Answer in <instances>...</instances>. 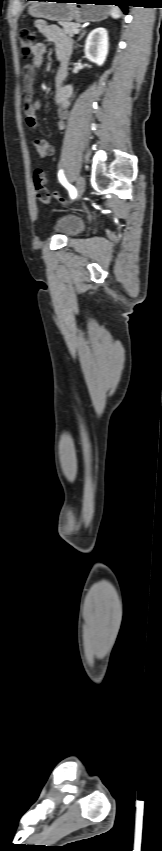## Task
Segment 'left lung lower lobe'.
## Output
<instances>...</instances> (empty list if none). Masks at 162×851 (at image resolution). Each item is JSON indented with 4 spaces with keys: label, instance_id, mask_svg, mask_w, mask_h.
I'll return each mask as SVG.
<instances>
[{
    "label": "left lung lower lobe",
    "instance_id": "1",
    "mask_svg": "<svg viewBox=\"0 0 162 851\" xmlns=\"http://www.w3.org/2000/svg\"><path fill=\"white\" fill-rule=\"evenodd\" d=\"M40 1H42V0H40ZM58 1H62V0H58ZM85 1H98V3L114 4L115 6H119L124 11V13H127L126 7L129 6L127 0H85Z\"/></svg>",
    "mask_w": 162,
    "mask_h": 851
}]
</instances>
